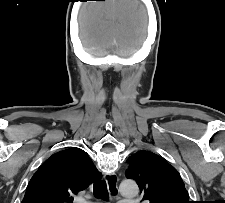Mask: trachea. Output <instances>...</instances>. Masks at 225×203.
Returning a JSON list of instances; mask_svg holds the SVG:
<instances>
[{
  "instance_id": "obj_1",
  "label": "trachea",
  "mask_w": 225,
  "mask_h": 203,
  "mask_svg": "<svg viewBox=\"0 0 225 203\" xmlns=\"http://www.w3.org/2000/svg\"><path fill=\"white\" fill-rule=\"evenodd\" d=\"M93 194L96 198H100L104 201H108L109 194H108L106 182L105 181L95 182L93 185Z\"/></svg>"
}]
</instances>
